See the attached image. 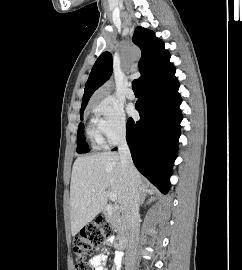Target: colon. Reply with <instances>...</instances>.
Listing matches in <instances>:
<instances>
[{
    "label": "colon",
    "instance_id": "5ec220e1",
    "mask_svg": "<svg viewBox=\"0 0 242 270\" xmlns=\"http://www.w3.org/2000/svg\"><path fill=\"white\" fill-rule=\"evenodd\" d=\"M111 232V225L103 218H98L95 223L81 230L80 235L74 240V252L79 257L75 270H93L92 264L85 260L84 256L90 254Z\"/></svg>",
    "mask_w": 242,
    "mask_h": 270
}]
</instances>
